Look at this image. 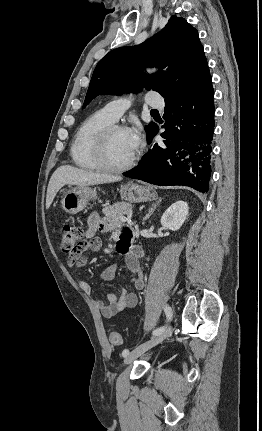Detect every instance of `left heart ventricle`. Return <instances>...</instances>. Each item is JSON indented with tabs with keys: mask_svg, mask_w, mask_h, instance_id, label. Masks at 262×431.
<instances>
[{
	"mask_svg": "<svg viewBox=\"0 0 262 431\" xmlns=\"http://www.w3.org/2000/svg\"><path fill=\"white\" fill-rule=\"evenodd\" d=\"M108 160L112 165L119 166L127 163L135 154L127 132L120 130L112 134L107 148Z\"/></svg>",
	"mask_w": 262,
	"mask_h": 431,
	"instance_id": "obj_1",
	"label": "left heart ventricle"
}]
</instances>
